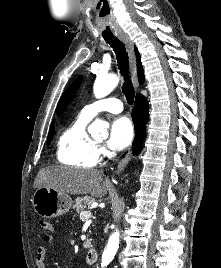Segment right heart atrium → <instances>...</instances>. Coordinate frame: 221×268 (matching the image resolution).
<instances>
[{"mask_svg": "<svg viewBox=\"0 0 221 268\" xmlns=\"http://www.w3.org/2000/svg\"><path fill=\"white\" fill-rule=\"evenodd\" d=\"M99 154H105V149L103 147L98 148Z\"/></svg>", "mask_w": 221, "mask_h": 268, "instance_id": "right-heart-atrium-1", "label": "right heart atrium"}]
</instances>
